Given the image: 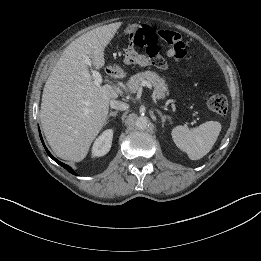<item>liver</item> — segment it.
Returning a JSON list of instances; mask_svg holds the SVG:
<instances>
[{
    "instance_id": "6515ba94",
    "label": "liver",
    "mask_w": 261,
    "mask_h": 261,
    "mask_svg": "<svg viewBox=\"0 0 261 261\" xmlns=\"http://www.w3.org/2000/svg\"><path fill=\"white\" fill-rule=\"evenodd\" d=\"M115 30L93 29L75 39L48 77L42 95L40 121L51 149L65 160L82 161L107 120L110 99L118 96L109 84L96 86L85 63L104 65V49Z\"/></svg>"
}]
</instances>
